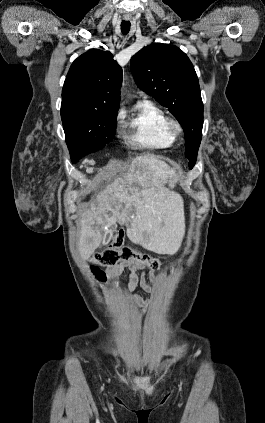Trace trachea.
<instances>
[{"instance_id": "1", "label": "trachea", "mask_w": 265, "mask_h": 423, "mask_svg": "<svg viewBox=\"0 0 265 423\" xmlns=\"http://www.w3.org/2000/svg\"><path fill=\"white\" fill-rule=\"evenodd\" d=\"M130 21H122L121 23V32L126 35L130 31Z\"/></svg>"}]
</instances>
